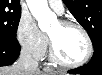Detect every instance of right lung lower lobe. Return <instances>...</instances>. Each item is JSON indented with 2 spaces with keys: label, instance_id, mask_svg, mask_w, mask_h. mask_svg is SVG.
<instances>
[{
  "label": "right lung lower lobe",
  "instance_id": "obj_1",
  "mask_svg": "<svg viewBox=\"0 0 102 75\" xmlns=\"http://www.w3.org/2000/svg\"><path fill=\"white\" fill-rule=\"evenodd\" d=\"M20 45L18 41L0 39V66L13 64L19 56Z\"/></svg>",
  "mask_w": 102,
  "mask_h": 75
}]
</instances>
